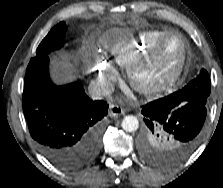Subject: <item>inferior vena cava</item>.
<instances>
[{
  "instance_id": "1",
  "label": "inferior vena cava",
  "mask_w": 223,
  "mask_h": 188,
  "mask_svg": "<svg viewBox=\"0 0 223 188\" xmlns=\"http://www.w3.org/2000/svg\"><path fill=\"white\" fill-rule=\"evenodd\" d=\"M89 95L93 100L102 99L104 96H108L113 93L114 85L107 80H93L89 87Z\"/></svg>"
}]
</instances>
